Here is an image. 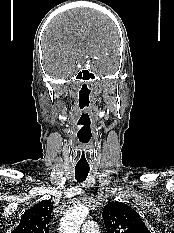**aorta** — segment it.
<instances>
[{"label":"aorta","mask_w":174,"mask_h":233,"mask_svg":"<svg viewBox=\"0 0 174 233\" xmlns=\"http://www.w3.org/2000/svg\"><path fill=\"white\" fill-rule=\"evenodd\" d=\"M89 210L84 205H77L70 208L62 217L60 222V233H80V227Z\"/></svg>","instance_id":"762f6f07"}]
</instances>
